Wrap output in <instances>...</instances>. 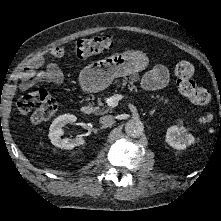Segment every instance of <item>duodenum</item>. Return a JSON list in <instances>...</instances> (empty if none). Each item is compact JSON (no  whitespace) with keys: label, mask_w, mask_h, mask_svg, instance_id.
<instances>
[{"label":"duodenum","mask_w":221,"mask_h":221,"mask_svg":"<svg viewBox=\"0 0 221 221\" xmlns=\"http://www.w3.org/2000/svg\"><path fill=\"white\" fill-rule=\"evenodd\" d=\"M80 111H81L82 114L87 115V114L91 113L92 108L90 106L85 105V106L81 107Z\"/></svg>","instance_id":"1"}]
</instances>
